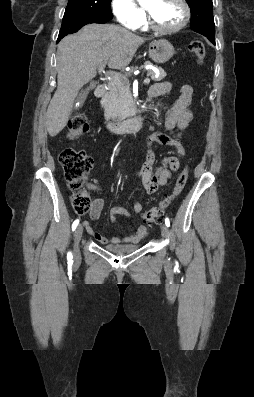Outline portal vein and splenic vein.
<instances>
[{
	"label": "portal vein and splenic vein",
	"mask_w": 254,
	"mask_h": 397,
	"mask_svg": "<svg viewBox=\"0 0 254 397\" xmlns=\"http://www.w3.org/2000/svg\"><path fill=\"white\" fill-rule=\"evenodd\" d=\"M106 62H102L99 66H98V71L100 73H104L108 78H110L112 81L113 80H120L122 75H120L119 73L113 72V71H108L105 73L104 68H105ZM144 83L145 84H149L150 83V79L146 78L144 79Z\"/></svg>",
	"instance_id": "1"
}]
</instances>
